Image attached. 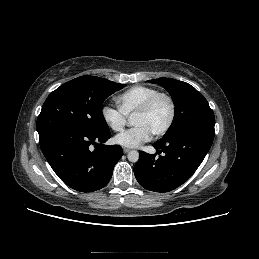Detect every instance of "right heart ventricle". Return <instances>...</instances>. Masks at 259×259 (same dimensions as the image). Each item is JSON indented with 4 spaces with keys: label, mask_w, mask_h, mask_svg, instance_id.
I'll return each mask as SVG.
<instances>
[{
    "label": "right heart ventricle",
    "mask_w": 259,
    "mask_h": 259,
    "mask_svg": "<svg viewBox=\"0 0 259 259\" xmlns=\"http://www.w3.org/2000/svg\"><path fill=\"white\" fill-rule=\"evenodd\" d=\"M158 90L154 87L136 85L116 97L119 109L126 115L131 116L141 107V105Z\"/></svg>",
    "instance_id": "e07e8e85"
}]
</instances>
